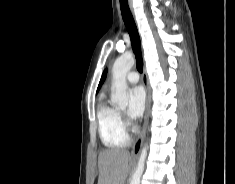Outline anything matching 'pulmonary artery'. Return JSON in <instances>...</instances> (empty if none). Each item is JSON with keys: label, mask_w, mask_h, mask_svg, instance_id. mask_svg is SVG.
<instances>
[{"label": "pulmonary artery", "mask_w": 235, "mask_h": 184, "mask_svg": "<svg viewBox=\"0 0 235 184\" xmlns=\"http://www.w3.org/2000/svg\"><path fill=\"white\" fill-rule=\"evenodd\" d=\"M139 74L137 72H128L125 76V79L130 84H136L139 81Z\"/></svg>", "instance_id": "pulmonary-artery-1"}]
</instances>
